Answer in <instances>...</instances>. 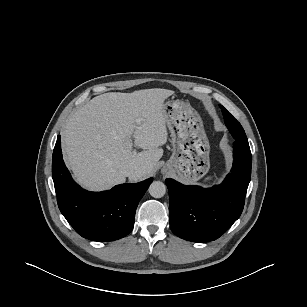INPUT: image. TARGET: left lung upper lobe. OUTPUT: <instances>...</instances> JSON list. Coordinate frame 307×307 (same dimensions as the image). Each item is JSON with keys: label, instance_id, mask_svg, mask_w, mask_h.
<instances>
[{"label": "left lung upper lobe", "instance_id": "obj_1", "mask_svg": "<svg viewBox=\"0 0 307 307\" xmlns=\"http://www.w3.org/2000/svg\"><path fill=\"white\" fill-rule=\"evenodd\" d=\"M225 123L235 140L248 144V140L241 124L228 112L226 108L221 106Z\"/></svg>", "mask_w": 307, "mask_h": 307}]
</instances>
